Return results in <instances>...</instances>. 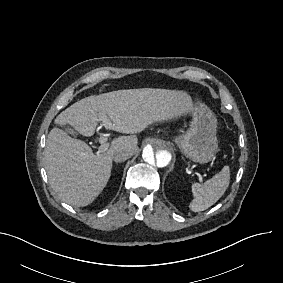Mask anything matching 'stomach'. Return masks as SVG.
<instances>
[{
  "mask_svg": "<svg viewBox=\"0 0 283 283\" xmlns=\"http://www.w3.org/2000/svg\"><path fill=\"white\" fill-rule=\"evenodd\" d=\"M192 122L185 134L175 137L181 152L194 162L207 163L219 151L215 114L201 101L191 111Z\"/></svg>",
  "mask_w": 283,
  "mask_h": 283,
  "instance_id": "stomach-1",
  "label": "stomach"
}]
</instances>
